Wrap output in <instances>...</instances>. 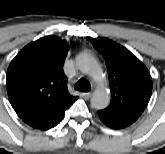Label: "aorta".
<instances>
[{
  "mask_svg": "<svg viewBox=\"0 0 165 154\" xmlns=\"http://www.w3.org/2000/svg\"><path fill=\"white\" fill-rule=\"evenodd\" d=\"M76 65L82 73L89 75L95 81H104L105 76L102 68L96 59L90 54H79L76 58ZM110 99L111 97L109 91L104 86H101L97 88L93 93L91 98V105L93 108L101 110L109 105Z\"/></svg>",
  "mask_w": 165,
  "mask_h": 154,
  "instance_id": "1",
  "label": "aorta"
}]
</instances>
